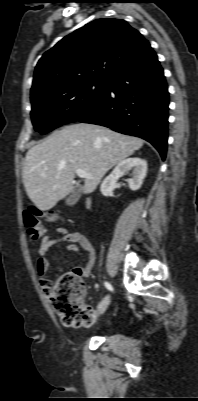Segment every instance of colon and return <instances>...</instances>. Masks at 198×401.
Segmentation results:
<instances>
[{
  "label": "colon",
  "instance_id": "5ec220e1",
  "mask_svg": "<svg viewBox=\"0 0 198 401\" xmlns=\"http://www.w3.org/2000/svg\"><path fill=\"white\" fill-rule=\"evenodd\" d=\"M54 223L59 215L53 212L43 213L30 208L23 213V222L29 237L38 240L44 234L41 220ZM50 302L62 323L70 327L90 326L95 315L84 303V288L78 270H70L63 274L48 291Z\"/></svg>",
  "mask_w": 198,
  "mask_h": 401
}]
</instances>
